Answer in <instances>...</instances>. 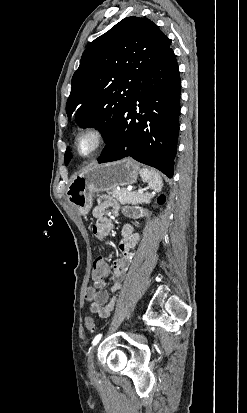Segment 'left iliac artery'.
<instances>
[{
    "label": "left iliac artery",
    "mask_w": 247,
    "mask_h": 413,
    "mask_svg": "<svg viewBox=\"0 0 247 413\" xmlns=\"http://www.w3.org/2000/svg\"><path fill=\"white\" fill-rule=\"evenodd\" d=\"M101 337H102V334H98L97 336H95V338L92 341V345L95 346L99 342Z\"/></svg>",
    "instance_id": "left-iliac-artery-1"
}]
</instances>
